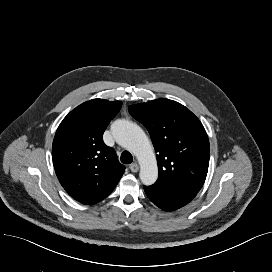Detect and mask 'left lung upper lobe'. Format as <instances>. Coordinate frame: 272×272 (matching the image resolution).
Segmentation results:
<instances>
[{
  "label": "left lung upper lobe",
  "mask_w": 272,
  "mask_h": 272,
  "mask_svg": "<svg viewBox=\"0 0 272 272\" xmlns=\"http://www.w3.org/2000/svg\"><path fill=\"white\" fill-rule=\"evenodd\" d=\"M128 109L151 136L159 168L157 182L199 192L210 156L208 136L200 120L185 106L165 98Z\"/></svg>",
  "instance_id": "1"
}]
</instances>
